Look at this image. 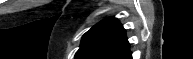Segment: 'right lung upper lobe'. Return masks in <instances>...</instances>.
Here are the masks:
<instances>
[{"mask_svg":"<svg viewBox=\"0 0 193 59\" xmlns=\"http://www.w3.org/2000/svg\"><path fill=\"white\" fill-rule=\"evenodd\" d=\"M125 30L115 18L101 21L86 32L76 59H129Z\"/></svg>","mask_w":193,"mask_h":59,"instance_id":"1","label":"right lung upper lobe"}]
</instances>
